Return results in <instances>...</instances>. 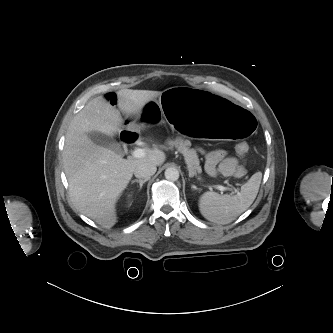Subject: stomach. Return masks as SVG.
<instances>
[{
    "mask_svg": "<svg viewBox=\"0 0 333 333\" xmlns=\"http://www.w3.org/2000/svg\"><path fill=\"white\" fill-rule=\"evenodd\" d=\"M168 121L189 137L233 143L247 141L256 128L247 106L189 86L166 89L158 103L147 101L143 111L136 110L125 118L127 130L133 132L149 123L162 125Z\"/></svg>",
    "mask_w": 333,
    "mask_h": 333,
    "instance_id": "1",
    "label": "stomach"
}]
</instances>
